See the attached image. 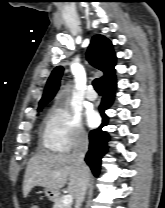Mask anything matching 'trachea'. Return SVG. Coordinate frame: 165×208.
<instances>
[{
    "label": "trachea",
    "mask_w": 165,
    "mask_h": 208,
    "mask_svg": "<svg viewBox=\"0 0 165 208\" xmlns=\"http://www.w3.org/2000/svg\"><path fill=\"white\" fill-rule=\"evenodd\" d=\"M93 86H94V89L97 91V92H101L102 89H101V84H100V80L98 78L94 79L93 81Z\"/></svg>",
    "instance_id": "1"
}]
</instances>
